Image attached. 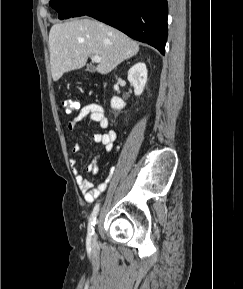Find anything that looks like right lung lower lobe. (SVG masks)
<instances>
[{
    "instance_id": "1",
    "label": "right lung lower lobe",
    "mask_w": 243,
    "mask_h": 289,
    "mask_svg": "<svg viewBox=\"0 0 243 289\" xmlns=\"http://www.w3.org/2000/svg\"><path fill=\"white\" fill-rule=\"evenodd\" d=\"M167 11V0H88L71 17H93L165 54Z\"/></svg>"
}]
</instances>
